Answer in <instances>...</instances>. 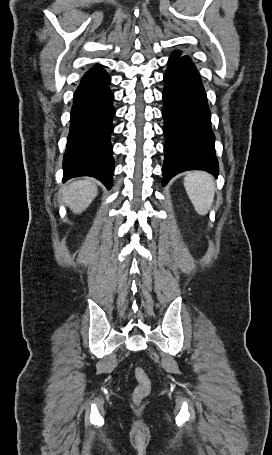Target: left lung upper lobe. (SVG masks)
Instances as JSON below:
<instances>
[{
    "label": "left lung upper lobe",
    "instance_id": "1",
    "mask_svg": "<svg viewBox=\"0 0 272 455\" xmlns=\"http://www.w3.org/2000/svg\"><path fill=\"white\" fill-rule=\"evenodd\" d=\"M182 53L180 51H174L171 56H180Z\"/></svg>",
    "mask_w": 272,
    "mask_h": 455
}]
</instances>
